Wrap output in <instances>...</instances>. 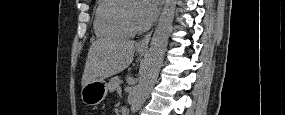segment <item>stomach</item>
Instances as JSON below:
<instances>
[{
	"label": "stomach",
	"mask_w": 285,
	"mask_h": 115,
	"mask_svg": "<svg viewBox=\"0 0 285 115\" xmlns=\"http://www.w3.org/2000/svg\"><path fill=\"white\" fill-rule=\"evenodd\" d=\"M144 54V51H139ZM107 95V83L105 81H92L82 87L81 99L87 106H96L100 104Z\"/></svg>",
	"instance_id": "0dacf381"
}]
</instances>
